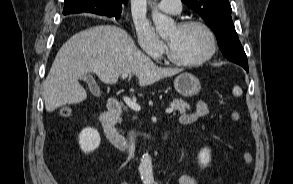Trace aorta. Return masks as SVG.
I'll return each instance as SVG.
<instances>
[{
	"label": "aorta",
	"instance_id": "aorta-1",
	"mask_svg": "<svg viewBox=\"0 0 293 184\" xmlns=\"http://www.w3.org/2000/svg\"><path fill=\"white\" fill-rule=\"evenodd\" d=\"M152 20L155 24L156 31L160 35L168 33L174 27V21L157 10L153 11ZM139 172L143 184H153L152 160L148 154L142 157L139 165Z\"/></svg>",
	"mask_w": 293,
	"mask_h": 184
}]
</instances>
